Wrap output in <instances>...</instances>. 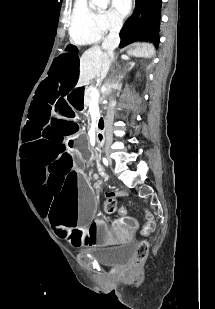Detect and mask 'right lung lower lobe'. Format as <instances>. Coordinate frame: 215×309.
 Returning a JSON list of instances; mask_svg holds the SVG:
<instances>
[{
	"mask_svg": "<svg viewBox=\"0 0 215 309\" xmlns=\"http://www.w3.org/2000/svg\"><path fill=\"white\" fill-rule=\"evenodd\" d=\"M162 0H135L132 16L120 31V47L138 40L159 43Z\"/></svg>",
	"mask_w": 215,
	"mask_h": 309,
	"instance_id": "1",
	"label": "right lung lower lobe"
}]
</instances>
